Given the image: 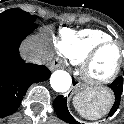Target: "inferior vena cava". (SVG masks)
<instances>
[{
  "label": "inferior vena cava",
  "instance_id": "602c4592",
  "mask_svg": "<svg viewBox=\"0 0 124 124\" xmlns=\"http://www.w3.org/2000/svg\"><path fill=\"white\" fill-rule=\"evenodd\" d=\"M30 62H33L35 64H42L45 60V56L38 54V53H32L29 56H27Z\"/></svg>",
  "mask_w": 124,
  "mask_h": 124
}]
</instances>
